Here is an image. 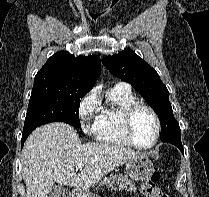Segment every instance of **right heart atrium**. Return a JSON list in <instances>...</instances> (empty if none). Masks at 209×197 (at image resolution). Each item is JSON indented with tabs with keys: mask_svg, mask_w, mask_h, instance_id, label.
<instances>
[{
	"mask_svg": "<svg viewBox=\"0 0 209 197\" xmlns=\"http://www.w3.org/2000/svg\"><path fill=\"white\" fill-rule=\"evenodd\" d=\"M100 100L95 90L88 92L80 101L79 118L84 130L88 133L93 132V125L90 120L96 119L99 115Z\"/></svg>",
	"mask_w": 209,
	"mask_h": 197,
	"instance_id": "1",
	"label": "right heart atrium"
}]
</instances>
